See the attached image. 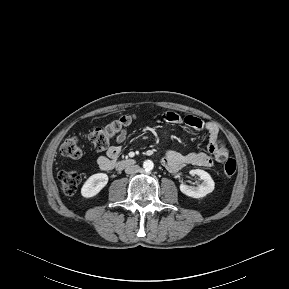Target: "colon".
Returning a JSON list of instances; mask_svg holds the SVG:
<instances>
[{"label": "colon", "mask_w": 289, "mask_h": 289, "mask_svg": "<svg viewBox=\"0 0 289 289\" xmlns=\"http://www.w3.org/2000/svg\"><path fill=\"white\" fill-rule=\"evenodd\" d=\"M132 115H123L114 119L107 124L94 129L88 135V141L93 149L97 152H103L109 149L110 141L123 130H126L133 122ZM63 156L69 158H79L83 154L81 140L77 135L67 137L60 147ZM236 161L229 158L225 161L223 171L225 176L231 177L236 171ZM59 181L63 192L67 195H73L80 184L81 176L74 170L61 171L59 173Z\"/></svg>", "instance_id": "5ec220e1"}]
</instances>
